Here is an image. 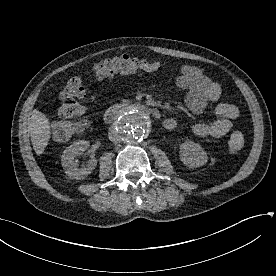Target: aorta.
Wrapping results in <instances>:
<instances>
[{
  "mask_svg": "<svg viewBox=\"0 0 276 276\" xmlns=\"http://www.w3.org/2000/svg\"><path fill=\"white\" fill-rule=\"evenodd\" d=\"M118 129L121 137L127 142L143 140L148 131L147 116L140 109L129 108L120 116Z\"/></svg>",
  "mask_w": 276,
  "mask_h": 276,
  "instance_id": "obj_1",
  "label": "aorta"
}]
</instances>
